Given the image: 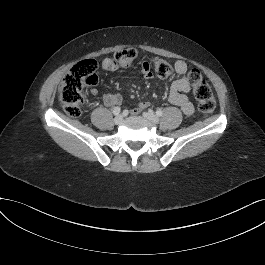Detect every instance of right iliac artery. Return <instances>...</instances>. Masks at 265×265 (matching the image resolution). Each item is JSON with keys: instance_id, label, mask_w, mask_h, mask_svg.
I'll use <instances>...</instances> for the list:
<instances>
[{"instance_id": "82829eb1", "label": "right iliac artery", "mask_w": 265, "mask_h": 265, "mask_svg": "<svg viewBox=\"0 0 265 265\" xmlns=\"http://www.w3.org/2000/svg\"><path fill=\"white\" fill-rule=\"evenodd\" d=\"M121 109L119 106L113 108V114L118 115L120 113Z\"/></svg>"}]
</instances>
